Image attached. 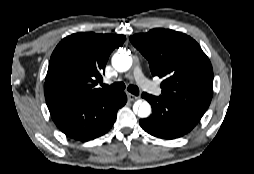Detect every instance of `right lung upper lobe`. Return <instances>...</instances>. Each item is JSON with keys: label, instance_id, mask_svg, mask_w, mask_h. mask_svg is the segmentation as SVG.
I'll return each instance as SVG.
<instances>
[{"label": "right lung upper lobe", "instance_id": "1", "mask_svg": "<svg viewBox=\"0 0 254 174\" xmlns=\"http://www.w3.org/2000/svg\"><path fill=\"white\" fill-rule=\"evenodd\" d=\"M125 41L124 35L76 33L64 38L53 51L45 80L48 109L76 97L111 96L95 87L111 52Z\"/></svg>", "mask_w": 254, "mask_h": 174}]
</instances>
